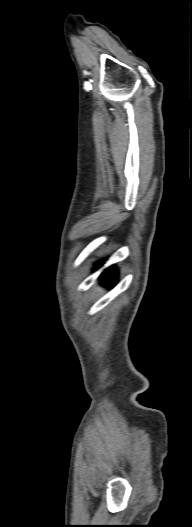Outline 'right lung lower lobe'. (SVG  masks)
<instances>
[{
	"instance_id": "1",
	"label": "right lung lower lobe",
	"mask_w": 192,
	"mask_h": 527,
	"mask_svg": "<svg viewBox=\"0 0 192 527\" xmlns=\"http://www.w3.org/2000/svg\"><path fill=\"white\" fill-rule=\"evenodd\" d=\"M116 272L114 267H110L105 270L102 274V284L104 285H113L115 283Z\"/></svg>"
}]
</instances>
